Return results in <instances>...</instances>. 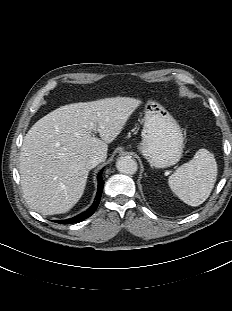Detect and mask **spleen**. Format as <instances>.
I'll list each match as a JSON object with an SVG mask.
<instances>
[{
  "instance_id": "obj_1",
  "label": "spleen",
  "mask_w": 232,
  "mask_h": 311,
  "mask_svg": "<svg viewBox=\"0 0 232 311\" xmlns=\"http://www.w3.org/2000/svg\"><path fill=\"white\" fill-rule=\"evenodd\" d=\"M217 178V163L207 149L181 165L168 179L171 190L186 204L199 206L209 197Z\"/></svg>"
}]
</instances>
